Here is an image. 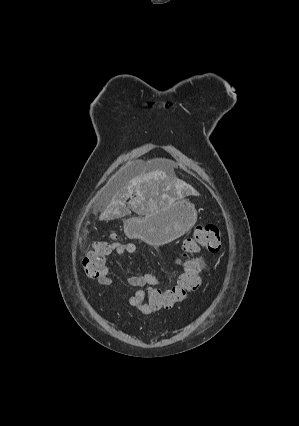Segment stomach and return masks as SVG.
<instances>
[{"label": "stomach", "instance_id": "obj_1", "mask_svg": "<svg viewBox=\"0 0 299 426\" xmlns=\"http://www.w3.org/2000/svg\"><path fill=\"white\" fill-rule=\"evenodd\" d=\"M197 221V211L187 200H175L160 205L145 216L124 222V232L153 247L168 244L188 232Z\"/></svg>", "mask_w": 299, "mask_h": 426}]
</instances>
